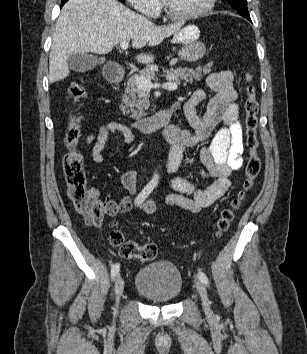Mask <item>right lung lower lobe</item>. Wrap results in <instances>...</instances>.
I'll list each match as a JSON object with an SVG mask.
<instances>
[{
	"label": "right lung lower lobe",
	"instance_id": "right-lung-lower-lobe-1",
	"mask_svg": "<svg viewBox=\"0 0 307 354\" xmlns=\"http://www.w3.org/2000/svg\"><path fill=\"white\" fill-rule=\"evenodd\" d=\"M68 0H62L61 7L66 3Z\"/></svg>",
	"mask_w": 307,
	"mask_h": 354
}]
</instances>
